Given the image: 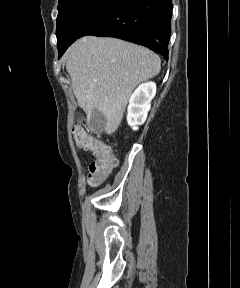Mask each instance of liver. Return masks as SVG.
Masks as SVG:
<instances>
[{
  "mask_svg": "<svg viewBox=\"0 0 240 288\" xmlns=\"http://www.w3.org/2000/svg\"><path fill=\"white\" fill-rule=\"evenodd\" d=\"M66 69L79 106L106 119L105 132L114 133L135 87L155 77L160 57L149 49L117 38L87 36L67 50Z\"/></svg>",
  "mask_w": 240,
  "mask_h": 288,
  "instance_id": "6515ba94",
  "label": "liver"
}]
</instances>
